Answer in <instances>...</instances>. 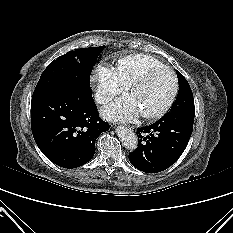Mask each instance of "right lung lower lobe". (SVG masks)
I'll use <instances>...</instances> for the list:
<instances>
[{
    "mask_svg": "<svg viewBox=\"0 0 233 233\" xmlns=\"http://www.w3.org/2000/svg\"><path fill=\"white\" fill-rule=\"evenodd\" d=\"M31 127L43 154L72 169L92 159L95 141L109 124L99 118L90 84L74 81L32 97Z\"/></svg>",
    "mask_w": 233,
    "mask_h": 233,
    "instance_id": "98d812e1",
    "label": "right lung lower lobe"
}]
</instances>
